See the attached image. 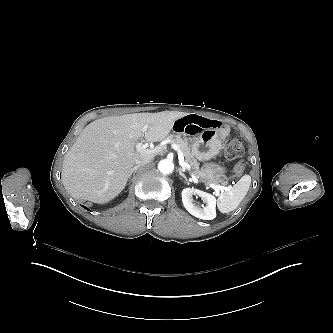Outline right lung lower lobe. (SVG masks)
<instances>
[{"mask_svg":"<svg viewBox=\"0 0 333 333\" xmlns=\"http://www.w3.org/2000/svg\"><path fill=\"white\" fill-rule=\"evenodd\" d=\"M86 210H89L87 207L83 206Z\"/></svg>","mask_w":333,"mask_h":333,"instance_id":"98d812e1","label":"right lung lower lobe"}]
</instances>
